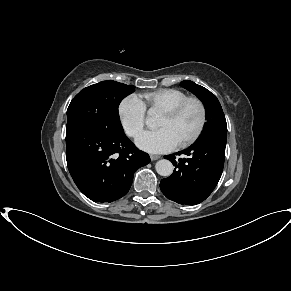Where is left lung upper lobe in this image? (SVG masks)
I'll list each match as a JSON object with an SVG mask.
<instances>
[{
    "label": "left lung upper lobe",
    "instance_id": "1",
    "mask_svg": "<svg viewBox=\"0 0 291 291\" xmlns=\"http://www.w3.org/2000/svg\"><path fill=\"white\" fill-rule=\"evenodd\" d=\"M181 86L194 93L204 104L206 109V123L199 139L207 137L226 138L227 124L222 107L216 98L206 88L192 81H182ZM198 139V140H199Z\"/></svg>",
    "mask_w": 291,
    "mask_h": 291
}]
</instances>
